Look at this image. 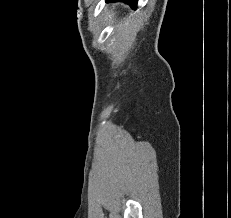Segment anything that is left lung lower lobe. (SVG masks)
I'll list each match as a JSON object with an SVG mask.
<instances>
[{
  "instance_id": "1",
  "label": "left lung lower lobe",
  "mask_w": 231,
  "mask_h": 218,
  "mask_svg": "<svg viewBox=\"0 0 231 218\" xmlns=\"http://www.w3.org/2000/svg\"><path fill=\"white\" fill-rule=\"evenodd\" d=\"M109 1H123L129 5H131L134 9L137 7V1L138 0H107V2Z\"/></svg>"
}]
</instances>
